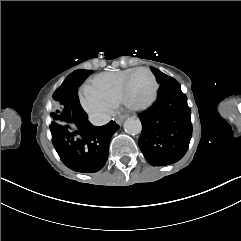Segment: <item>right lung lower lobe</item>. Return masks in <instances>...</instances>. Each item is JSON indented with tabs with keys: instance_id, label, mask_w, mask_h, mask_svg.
<instances>
[{
	"instance_id": "right-lung-lower-lobe-1",
	"label": "right lung lower lobe",
	"mask_w": 241,
	"mask_h": 241,
	"mask_svg": "<svg viewBox=\"0 0 241 241\" xmlns=\"http://www.w3.org/2000/svg\"><path fill=\"white\" fill-rule=\"evenodd\" d=\"M66 79L69 81L66 84L65 100L74 123L69 127L52 128V142L68 168L77 172L94 173L105 165L110 139L119 126L115 121L100 127L93 126L77 95V88L84 81L73 77V73Z\"/></svg>"
}]
</instances>
